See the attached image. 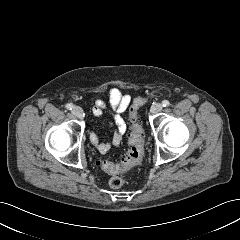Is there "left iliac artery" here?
<instances>
[{"mask_svg": "<svg viewBox=\"0 0 240 240\" xmlns=\"http://www.w3.org/2000/svg\"><path fill=\"white\" fill-rule=\"evenodd\" d=\"M170 105V102L168 100H163L162 101V106L163 107H168Z\"/></svg>", "mask_w": 240, "mask_h": 240, "instance_id": "44dca946", "label": "left iliac artery"}]
</instances>
